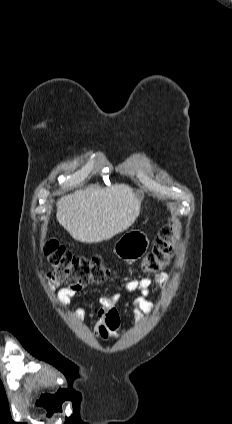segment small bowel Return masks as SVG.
<instances>
[{
  "mask_svg": "<svg viewBox=\"0 0 232 424\" xmlns=\"http://www.w3.org/2000/svg\"><path fill=\"white\" fill-rule=\"evenodd\" d=\"M170 276L166 273H158L155 275L154 280L150 278H141L139 280H131L127 284V289L131 291H138L140 296L134 300V313L136 315H152L155 313V306L149 301L148 296L151 293V285L154 282L157 286L164 289L167 287ZM82 288L73 289L70 287H63L58 292L59 303L62 307L70 304L71 299ZM119 299L118 294L112 296H103L101 298V306L96 314L95 334L98 338L106 341L110 338H115L118 335L120 328V320L118 311L115 308V303ZM86 309L84 307L78 308L74 312L76 319L84 317Z\"/></svg>",
  "mask_w": 232,
  "mask_h": 424,
  "instance_id": "obj_1",
  "label": "small bowel"
}]
</instances>
